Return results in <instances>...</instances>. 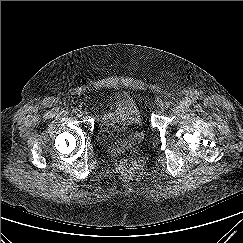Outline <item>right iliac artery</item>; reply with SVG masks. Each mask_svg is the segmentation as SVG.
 <instances>
[{
  "mask_svg": "<svg viewBox=\"0 0 243 243\" xmlns=\"http://www.w3.org/2000/svg\"><path fill=\"white\" fill-rule=\"evenodd\" d=\"M72 112L77 113V109L76 108H73L72 109Z\"/></svg>",
  "mask_w": 243,
  "mask_h": 243,
  "instance_id": "obj_1",
  "label": "right iliac artery"
}]
</instances>
